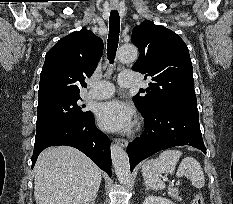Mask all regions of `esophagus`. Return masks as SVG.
Here are the masks:
<instances>
[{
	"mask_svg": "<svg viewBox=\"0 0 233 204\" xmlns=\"http://www.w3.org/2000/svg\"><path fill=\"white\" fill-rule=\"evenodd\" d=\"M113 9H117V7H113ZM115 142L123 148H126L128 145V141L123 138H117L115 139Z\"/></svg>",
	"mask_w": 233,
	"mask_h": 204,
	"instance_id": "obj_1",
	"label": "esophagus"
}]
</instances>
